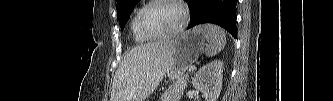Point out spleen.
Instances as JSON below:
<instances>
[{"instance_id":"spleen-1","label":"spleen","mask_w":333,"mask_h":101,"mask_svg":"<svg viewBox=\"0 0 333 101\" xmlns=\"http://www.w3.org/2000/svg\"><path fill=\"white\" fill-rule=\"evenodd\" d=\"M193 30L203 35L208 42L205 49L207 57H213L224 49L226 45V34L219 26L205 24L203 26H197Z\"/></svg>"}]
</instances>
